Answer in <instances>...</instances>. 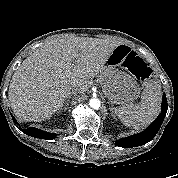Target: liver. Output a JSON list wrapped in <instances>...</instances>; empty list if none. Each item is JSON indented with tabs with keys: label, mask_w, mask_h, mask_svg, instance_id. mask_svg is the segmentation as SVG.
<instances>
[{
	"label": "liver",
	"mask_w": 178,
	"mask_h": 178,
	"mask_svg": "<svg viewBox=\"0 0 178 178\" xmlns=\"http://www.w3.org/2000/svg\"><path fill=\"white\" fill-rule=\"evenodd\" d=\"M120 42L98 38H54L36 48L14 72L9 102L24 122L48 119L74 89L86 92Z\"/></svg>",
	"instance_id": "liver-1"
}]
</instances>
